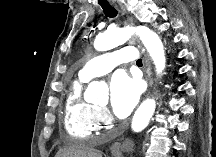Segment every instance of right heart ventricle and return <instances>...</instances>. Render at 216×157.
I'll list each match as a JSON object with an SVG mask.
<instances>
[{
    "label": "right heart ventricle",
    "instance_id": "e07e8e85",
    "mask_svg": "<svg viewBox=\"0 0 216 157\" xmlns=\"http://www.w3.org/2000/svg\"><path fill=\"white\" fill-rule=\"evenodd\" d=\"M85 82L80 77L74 80L65 101L64 128L77 138H89L98 129L94 122L96 107L82 96Z\"/></svg>",
    "mask_w": 216,
    "mask_h": 157
}]
</instances>
